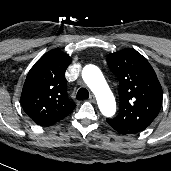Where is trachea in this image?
I'll list each match as a JSON object with an SVG mask.
<instances>
[{"label":"trachea","mask_w":171,"mask_h":171,"mask_svg":"<svg viewBox=\"0 0 171 171\" xmlns=\"http://www.w3.org/2000/svg\"><path fill=\"white\" fill-rule=\"evenodd\" d=\"M77 100H80V99H88L89 97V92L87 89L85 88H80L77 92Z\"/></svg>","instance_id":"3493384b"}]
</instances>
